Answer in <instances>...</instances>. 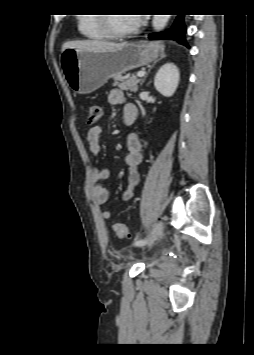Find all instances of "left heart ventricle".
<instances>
[{
  "label": "left heart ventricle",
  "mask_w": 254,
  "mask_h": 355,
  "mask_svg": "<svg viewBox=\"0 0 254 355\" xmlns=\"http://www.w3.org/2000/svg\"><path fill=\"white\" fill-rule=\"evenodd\" d=\"M110 24L114 31L122 32L136 27L135 20L132 16L126 14L110 15Z\"/></svg>",
  "instance_id": "1"
}]
</instances>
